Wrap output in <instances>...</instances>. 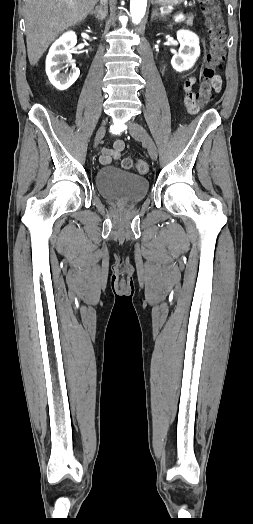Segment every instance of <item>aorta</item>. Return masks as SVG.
<instances>
[{"label": "aorta", "mask_w": 253, "mask_h": 524, "mask_svg": "<svg viewBox=\"0 0 253 524\" xmlns=\"http://www.w3.org/2000/svg\"><path fill=\"white\" fill-rule=\"evenodd\" d=\"M147 7V0H131L130 1V13L132 21L135 24H139L145 15Z\"/></svg>", "instance_id": "obj_1"}]
</instances>
